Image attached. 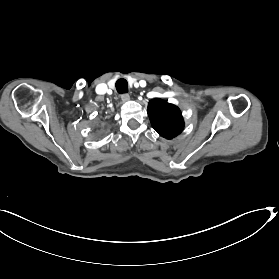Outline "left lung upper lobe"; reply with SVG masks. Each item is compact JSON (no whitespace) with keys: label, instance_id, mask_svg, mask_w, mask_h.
<instances>
[{"label":"left lung upper lobe","instance_id":"1","mask_svg":"<svg viewBox=\"0 0 279 279\" xmlns=\"http://www.w3.org/2000/svg\"><path fill=\"white\" fill-rule=\"evenodd\" d=\"M148 115L152 127L166 139H172L183 130L184 122L180 110L166 101L151 100Z\"/></svg>","mask_w":279,"mask_h":279}]
</instances>
